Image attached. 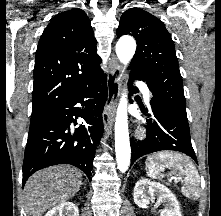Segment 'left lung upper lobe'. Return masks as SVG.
I'll return each instance as SVG.
<instances>
[{"mask_svg":"<svg viewBox=\"0 0 221 216\" xmlns=\"http://www.w3.org/2000/svg\"><path fill=\"white\" fill-rule=\"evenodd\" d=\"M125 34L137 40L130 74H138L147 83L151 100L188 121L175 46L164 23L140 8H130L122 14L117 29L118 37Z\"/></svg>","mask_w":221,"mask_h":216,"instance_id":"obj_1","label":"left lung upper lobe"}]
</instances>
